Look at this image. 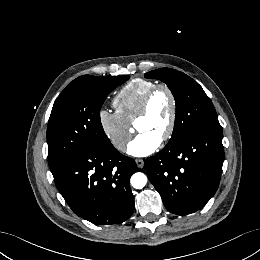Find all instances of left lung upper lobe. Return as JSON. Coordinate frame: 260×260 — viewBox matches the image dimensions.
I'll use <instances>...</instances> for the list:
<instances>
[{
    "mask_svg": "<svg viewBox=\"0 0 260 260\" xmlns=\"http://www.w3.org/2000/svg\"><path fill=\"white\" fill-rule=\"evenodd\" d=\"M145 77L166 83L175 98L176 118L168 144L179 141L194 130L220 125L209 97L202 87L186 74L170 68H160L148 72Z\"/></svg>",
    "mask_w": 260,
    "mask_h": 260,
    "instance_id": "1",
    "label": "left lung upper lobe"
}]
</instances>
